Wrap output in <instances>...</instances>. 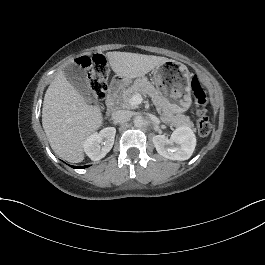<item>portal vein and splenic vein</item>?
I'll return each mask as SVG.
<instances>
[{"instance_id": "portal-vein-and-splenic-vein-1", "label": "portal vein and splenic vein", "mask_w": 265, "mask_h": 265, "mask_svg": "<svg viewBox=\"0 0 265 265\" xmlns=\"http://www.w3.org/2000/svg\"><path fill=\"white\" fill-rule=\"evenodd\" d=\"M142 101H143V98H142L141 94H140V93H136V94H134V95L131 97L129 103H130L132 106H136V105L141 104Z\"/></svg>"}]
</instances>
